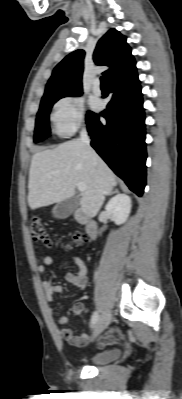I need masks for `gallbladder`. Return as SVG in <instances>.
<instances>
[{
	"label": "gallbladder",
	"instance_id": "1",
	"mask_svg": "<svg viewBox=\"0 0 182 399\" xmlns=\"http://www.w3.org/2000/svg\"><path fill=\"white\" fill-rule=\"evenodd\" d=\"M79 202L80 198L78 196L70 197L56 204L52 210V214L55 218H67L78 208Z\"/></svg>",
	"mask_w": 182,
	"mask_h": 399
}]
</instances>
